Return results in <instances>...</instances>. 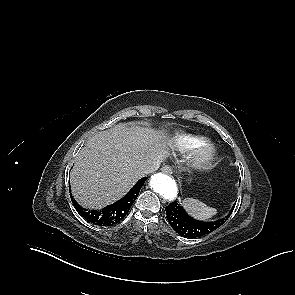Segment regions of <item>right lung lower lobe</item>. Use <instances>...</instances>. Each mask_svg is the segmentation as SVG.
I'll use <instances>...</instances> for the list:
<instances>
[{
	"label": "right lung lower lobe",
	"instance_id": "obj_1",
	"mask_svg": "<svg viewBox=\"0 0 295 295\" xmlns=\"http://www.w3.org/2000/svg\"><path fill=\"white\" fill-rule=\"evenodd\" d=\"M146 179L147 177L141 178L122 199L102 210H87L78 205L72 196L71 200L75 209L87 221L99 226H111L120 222L127 215Z\"/></svg>",
	"mask_w": 295,
	"mask_h": 295
}]
</instances>
